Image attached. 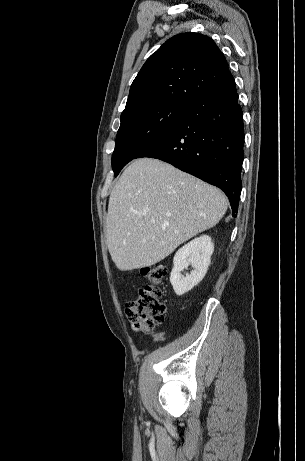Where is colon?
<instances>
[{
	"label": "colon",
	"mask_w": 305,
	"mask_h": 461,
	"mask_svg": "<svg viewBox=\"0 0 305 461\" xmlns=\"http://www.w3.org/2000/svg\"><path fill=\"white\" fill-rule=\"evenodd\" d=\"M167 266L156 263L143 269L149 281L141 287L138 296L127 303L125 313L135 331L150 333L164 322L166 305L162 301L161 285L167 274Z\"/></svg>",
	"instance_id": "colon-1"
}]
</instances>
